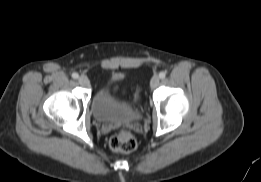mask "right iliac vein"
I'll list each match as a JSON object with an SVG mask.
<instances>
[{
	"label": "right iliac vein",
	"instance_id": "obj_1",
	"mask_svg": "<svg viewBox=\"0 0 261 182\" xmlns=\"http://www.w3.org/2000/svg\"><path fill=\"white\" fill-rule=\"evenodd\" d=\"M78 82H79V84L82 85V86H87V85H89V79H88L86 76H80V77L78 78Z\"/></svg>",
	"mask_w": 261,
	"mask_h": 182
}]
</instances>
